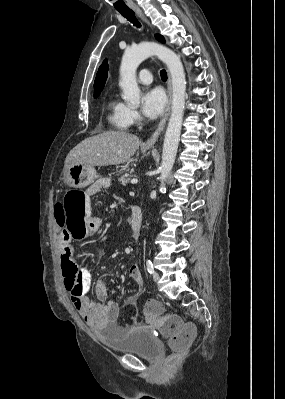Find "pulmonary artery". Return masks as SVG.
I'll return each mask as SVG.
<instances>
[{"label":"pulmonary artery","instance_id":"e3ab8cb5","mask_svg":"<svg viewBox=\"0 0 285 399\" xmlns=\"http://www.w3.org/2000/svg\"><path fill=\"white\" fill-rule=\"evenodd\" d=\"M138 81L142 84H150L152 82V72L149 69H143L139 72Z\"/></svg>","mask_w":285,"mask_h":399}]
</instances>
